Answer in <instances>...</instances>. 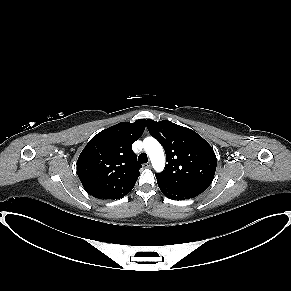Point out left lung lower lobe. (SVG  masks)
Returning <instances> with one entry per match:
<instances>
[{"label":"left lung lower lobe","mask_w":291,"mask_h":291,"mask_svg":"<svg viewBox=\"0 0 291 291\" xmlns=\"http://www.w3.org/2000/svg\"><path fill=\"white\" fill-rule=\"evenodd\" d=\"M157 184H158L161 192L166 197L173 199V200H184V199L194 198L197 196L195 194L184 192V191L176 189L172 186H169V185L163 183L162 181H160L158 178H157Z\"/></svg>","instance_id":"obj_1"}]
</instances>
